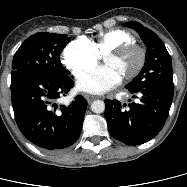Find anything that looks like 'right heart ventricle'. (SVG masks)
I'll return each instance as SVG.
<instances>
[{
    "instance_id": "right-heart-ventricle-1",
    "label": "right heart ventricle",
    "mask_w": 187,
    "mask_h": 187,
    "mask_svg": "<svg viewBox=\"0 0 187 187\" xmlns=\"http://www.w3.org/2000/svg\"><path fill=\"white\" fill-rule=\"evenodd\" d=\"M98 56L124 43H136L135 37L126 30L112 29L99 33L92 39H87Z\"/></svg>"
}]
</instances>
